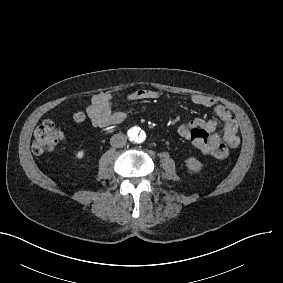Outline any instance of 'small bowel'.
I'll list each match as a JSON object with an SVG mask.
<instances>
[{
	"mask_svg": "<svg viewBox=\"0 0 283 283\" xmlns=\"http://www.w3.org/2000/svg\"><path fill=\"white\" fill-rule=\"evenodd\" d=\"M116 96L117 94L113 92H101L92 97L91 103L87 107V114L95 127L108 128L120 125L125 121L126 113L113 109ZM124 98L129 101L157 100L161 98V93L156 90L137 89L126 94ZM191 100L196 105L212 109L215 118L195 119L188 124H182L178 127V134L187 139L186 133L189 128L193 126L201 127L212 134L215 139L213 148L205 155H210L219 160L227 158L229 151L237 148L241 142L236 118L229 109L218 103L214 97L195 94ZM219 123L223 126L221 135L216 133Z\"/></svg>",
	"mask_w": 283,
	"mask_h": 283,
	"instance_id": "small-bowel-1",
	"label": "small bowel"
}]
</instances>
